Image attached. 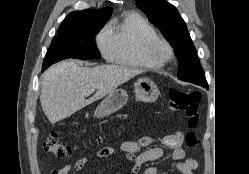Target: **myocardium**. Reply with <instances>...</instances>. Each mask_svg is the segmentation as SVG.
I'll use <instances>...</instances> for the list:
<instances>
[{"mask_svg": "<svg viewBox=\"0 0 249 174\" xmlns=\"http://www.w3.org/2000/svg\"><path fill=\"white\" fill-rule=\"evenodd\" d=\"M142 54L145 58L162 66L173 58L174 51L166 39L156 37L144 43Z\"/></svg>", "mask_w": 249, "mask_h": 174, "instance_id": "f54148a6", "label": "myocardium"}]
</instances>
